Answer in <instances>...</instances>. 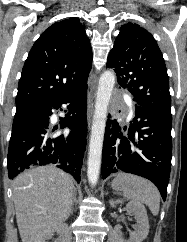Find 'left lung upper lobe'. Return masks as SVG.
Listing matches in <instances>:
<instances>
[{"label":"left lung upper lobe","instance_id":"5c2ea615","mask_svg":"<svg viewBox=\"0 0 187 242\" xmlns=\"http://www.w3.org/2000/svg\"><path fill=\"white\" fill-rule=\"evenodd\" d=\"M118 84L135 96L136 104L171 115L169 78L154 37L134 23L121 26L107 59Z\"/></svg>","mask_w":187,"mask_h":242}]
</instances>
